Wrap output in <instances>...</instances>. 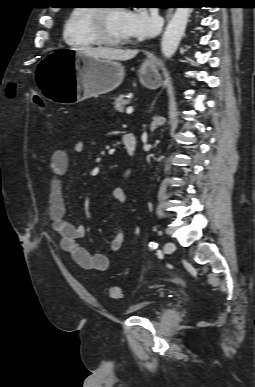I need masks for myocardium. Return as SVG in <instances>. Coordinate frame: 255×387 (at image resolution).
<instances>
[{"label": "myocardium", "mask_w": 255, "mask_h": 387, "mask_svg": "<svg viewBox=\"0 0 255 387\" xmlns=\"http://www.w3.org/2000/svg\"><path fill=\"white\" fill-rule=\"evenodd\" d=\"M116 7H96L90 15V27L94 37L100 44L107 46H122L129 42V39H118L110 35L107 27L109 13Z\"/></svg>", "instance_id": "1"}]
</instances>
